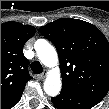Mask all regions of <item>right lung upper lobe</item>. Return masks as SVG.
<instances>
[{"mask_svg": "<svg viewBox=\"0 0 109 109\" xmlns=\"http://www.w3.org/2000/svg\"><path fill=\"white\" fill-rule=\"evenodd\" d=\"M35 32L33 26L18 22L1 24V107L24 90L32 78L23 46Z\"/></svg>", "mask_w": 109, "mask_h": 109, "instance_id": "1", "label": "right lung upper lobe"}]
</instances>
